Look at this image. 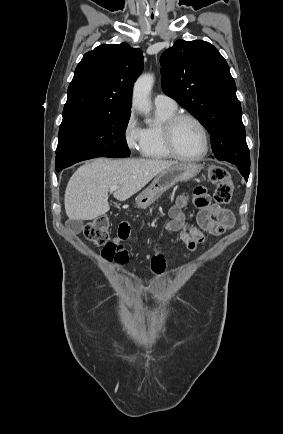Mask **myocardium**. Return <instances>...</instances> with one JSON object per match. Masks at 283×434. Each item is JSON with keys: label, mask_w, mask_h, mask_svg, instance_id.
<instances>
[{"label": "myocardium", "mask_w": 283, "mask_h": 434, "mask_svg": "<svg viewBox=\"0 0 283 434\" xmlns=\"http://www.w3.org/2000/svg\"><path fill=\"white\" fill-rule=\"evenodd\" d=\"M184 119L191 120L194 122L197 127L199 128L202 140H203V148L202 151L194 156H186L181 153H179L175 147L174 143V130L176 125ZM163 139L164 144L167 149V151L170 153V155L176 159L182 160V161H198L204 158L208 151H209V134L205 127V125L202 123V121L196 117L195 115L191 113H175L172 115L163 125Z\"/></svg>", "instance_id": "myocardium-1"}]
</instances>
